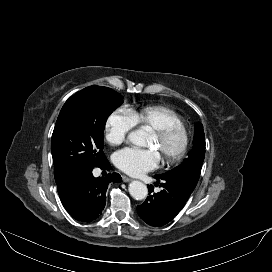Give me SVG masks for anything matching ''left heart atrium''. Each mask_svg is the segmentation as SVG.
Instances as JSON below:
<instances>
[{"mask_svg": "<svg viewBox=\"0 0 272 272\" xmlns=\"http://www.w3.org/2000/svg\"><path fill=\"white\" fill-rule=\"evenodd\" d=\"M116 166L130 175H140L154 169L160 154L155 149L125 148L115 154Z\"/></svg>", "mask_w": 272, "mask_h": 272, "instance_id": "1", "label": "left heart atrium"}]
</instances>
